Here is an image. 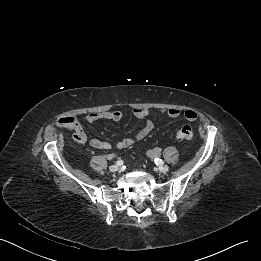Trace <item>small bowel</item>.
<instances>
[{"mask_svg":"<svg viewBox=\"0 0 261 261\" xmlns=\"http://www.w3.org/2000/svg\"><path fill=\"white\" fill-rule=\"evenodd\" d=\"M133 116L139 120H144V126L134 135V137H127L120 140L116 146L119 149H126L132 146L135 142L145 139L154 130V123L148 118L149 111L144 108H136L133 110ZM181 110L178 108H168L161 110V114L169 118H177L181 115ZM183 116L187 121H195L197 119V113L191 109L185 110ZM123 117V113L120 110L113 111H100L93 112L86 116V121L88 123H95L101 120L119 122ZM68 130L72 131V138L78 144H85L89 142L91 147L99 150H108L111 148V144L107 141L101 140L99 138H92L88 140L87 134L81 124V122L73 117V123L66 126ZM157 150L151 151V156L158 155Z\"/></svg>","mask_w":261,"mask_h":261,"instance_id":"small-bowel-1","label":"small bowel"}]
</instances>
